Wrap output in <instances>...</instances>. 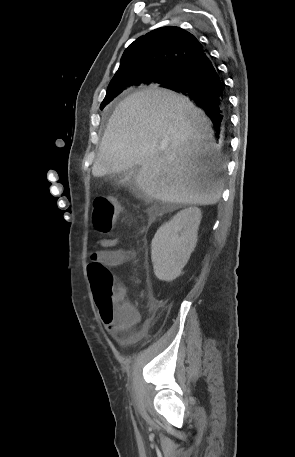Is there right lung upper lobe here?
Here are the masks:
<instances>
[{"label":"right lung upper lobe","instance_id":"cb5924a9","mask_svg":"<svg viewBox=\"0 0 295 457\" xmlns=\"http://www.w3.org/2000/svg\"><path fill=\"white\" fill-rule=\"evenodd\" d=\"M203 52L201 43L186 30L176 26L155 29L127 47L108 87L119 84L162 86Z\"/></svg>","mask_w":295,"mask_h":457}]
</instances>
